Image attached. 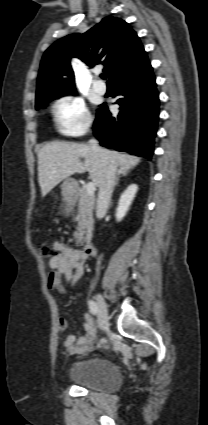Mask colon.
Wrapping results in <instances>:
<instances>
[{
	"instance_id": "1",
	"label": "colon",
	"mask_w": 208,
	"mask_h": 425,
	"mask_svg": "<svg viewBox=\"0 0 208 425\" xmlns=\"http://www.w3.org/2000/svg\"><path fill=\"white\" fill-rule=\"evenodd\" d=\"M39 251L43 257H52L55 254L53 248L47 244L39 245Z\"/></svg>"
}]
</instances>
